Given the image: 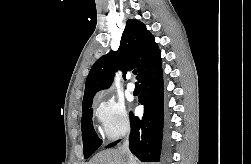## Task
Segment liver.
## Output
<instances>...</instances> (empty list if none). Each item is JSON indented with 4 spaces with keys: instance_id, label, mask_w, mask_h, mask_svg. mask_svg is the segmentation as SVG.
Masks as SVG:
<instances>
[{
    "instance_id": "1",
    "label": "liver",
    "mask_w": 251,
    "mask_h": 164,
    "mask_svg": "<svg viewBox=\"0 0 251 164\" xmlns=\"http://www.w3.org/2000/svg\"><path fill=\"white\" fill-rule=\"evenodd\" d=\"M131 154L122 148L109 149L96 154L93 159L87 164H131ZM133 164H139L132 156Z\"/></svg>"
}]
</instances>
